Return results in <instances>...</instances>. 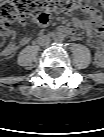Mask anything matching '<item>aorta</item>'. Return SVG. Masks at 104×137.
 I'll list each match as a JSON object with an SVG mask.
<instances>
[{
    "mask_svg": "<svg viewBox=\"0 0 104 137\" xmlns=\"http://www.w3.org/2000/svg\"><path fill=\"white\" fill-rule=\"evenodd\" d=\"M55 41L57 43H62L64 41V35L62 33H57L55 35Z\"/></svg>",
    "mask_w": 104,
    "mask_h": 137,
    "instance_id": "1",
    "label": "aorta"
}]
</instances>
